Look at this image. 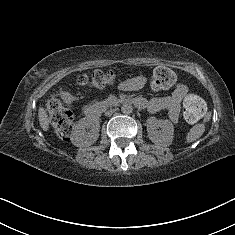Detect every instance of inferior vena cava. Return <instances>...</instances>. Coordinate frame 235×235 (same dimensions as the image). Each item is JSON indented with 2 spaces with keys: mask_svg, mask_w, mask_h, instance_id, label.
Returning a JSON list of instances; mask_svg holds the SVG:
<instances>
[{
  "mask_svg": "<svg viewBox=\"0 0 235 235\" xmlns=\"http://www.w3.org/2000/svg\"><path fill=\"white\" fill-rule=\"evenodd\" d=\"M114 112V110H108L105 112L106 115H111Z\"/></svg>",
  "mask_w": 235,
  "mask_h": 235,
  "instance_id": "obj_1",
  "label": "inferior vena cava"
}]
</instances>
